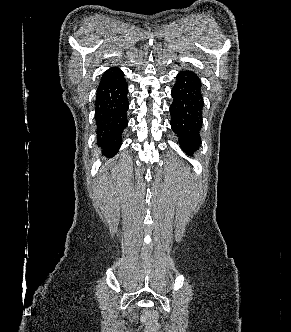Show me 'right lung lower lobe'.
<instances>
[{
    "instance_id": "obj_1",
    "label": "right lung lower lobe",
    "mask_w": 291,
    "mask_h": 332,
    "mask_svg": "<svg viewBox=\"0 0 291 332\" xmlns=\"http://www.w3.org/2000/svg\"><path fill=\"white\" fill-rule=\"evenodd\" d=\"M128 85L124 74L117 68L106 71L100 80L95 100L97 140L117 150L121 145V134L127 127Z\"/></svg>"
}]
</instances>
